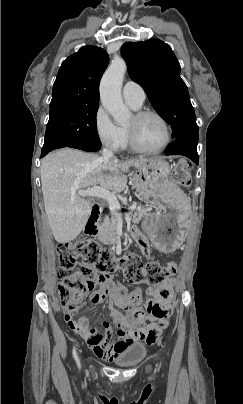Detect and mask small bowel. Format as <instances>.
I'll return each mask as SVG.
<instances>
[{"label":"small bowel","mask_w":243,"mask_h":404,"mask_svg":"<svg viewBox=\"0 0 243 404\" xmlns=\"http://www.w3.org/2000/svg\"><path fill=\"white\" fill-rule=\"evenodd\" d=\"M135 234L142 252L149 255L147 240L137 230ZM98 284L100 288L91 296V301L100 303L110 296L109 307L117 326L118 338L112 340L109 323H104L105 333L101 334L96 328L89 326L86 317L75 319L72 312L64 311V320L68 326L86 340L98 357L106 360H114L124 348L137 341L154 344L168 325L173 298V279L168 278L160 285L149 289L145 307L131 311L126 316L117 309L122 303L120 292L123 288L117 287L110 275L101 277Z\"/></svg>","instance_id":"1"}]
</instances>
